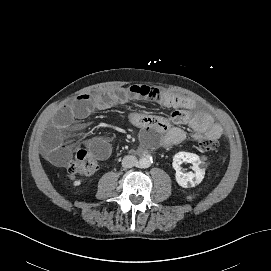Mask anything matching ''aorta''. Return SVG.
<instances>
[{"label":"aorta","instance_id":"762f6f07","mask_svg":"<svg viewBox=\"0 0 271 271\" xmlns=\"http://www.w3.org/2000/svg\"><path fill=\"white\" fill-rule=\"evenodd\" d=\"M153 162L152 156L150 155H143L140 159H139V166L141 168H148L151 166Z\"/></svg>","mask_w":271,"mask_h":271}]
</instances>
